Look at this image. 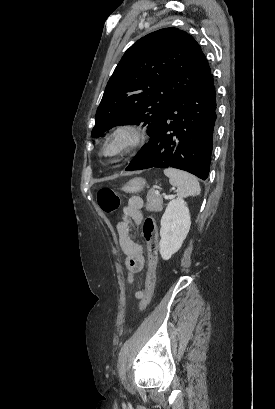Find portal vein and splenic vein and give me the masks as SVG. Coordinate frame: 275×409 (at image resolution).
<instances>
[{"instance_id": "portal-vein-and-splenic-vein-1", "label": "portal vein and splenic vein", "mask_w": 275, "mask_h": 409, "mask_svg": "<svg viewBox=\"0 0 275 409\" xmlns=\"http://www.w3.org/2000/svg\"><path fill=\"white\" fill-rule=\"evenodd\" d=\"M174 188V186H173ZM157 194H159L158 190H157ZM173 194H164V198H172Z\"/></svg>"}]
</instances>
